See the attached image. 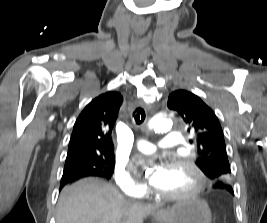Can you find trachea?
<instances>
[{"instance_id": "obj_1", "label": "trachea", "mask_w": 267, "mask_h": 223, "mask_svg": "<svg viewBox=\"0 0 267 223\" xmlns=\"http://www.w3.org/2000/svg\"><path fill=\"white\" fill-rule=\"evenodd\" d=\"M146 117L145 111L142 108H137L134 112H133V118L136 122L137 125H140L144 122Z\"/></svg>"}]
</instances>
